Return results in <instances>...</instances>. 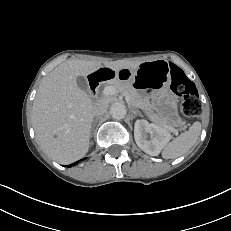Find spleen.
Returning <instances> with one entry per match:
<instances>
[{
  "label": "spleen",
  "mask_w": 231,
  "mask_h": 231,
  "mask_svg": "<svg viewBox=\"0 0 231 231\" xmlns=\"http://www.w3.org/2000/svg\"><path fill=\"white\" fill-rule=\"evenodd\" d=\"M201 133V123L194 122L188 131L172 140L164 146L162 157L164 159H175L188 152L197 142Z\"/></svg>",
  "instance_id": "3e777b00"
}]
</instances>
